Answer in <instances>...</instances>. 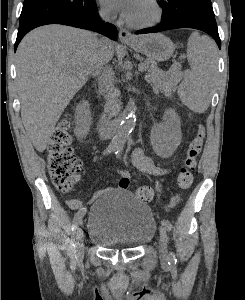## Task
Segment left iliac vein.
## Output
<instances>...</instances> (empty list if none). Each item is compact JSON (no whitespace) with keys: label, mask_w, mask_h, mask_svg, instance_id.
Instances as JSON below:
<instances>
[{"label":"left iliac vein","mask_w":245,"mask_h":300,"mask_svg":"<svg viewBox=\"0 0 245 300\" xmlns=\"http://www.w3.org/2000/svg\"><path fill=\"white\" fill-rule=\"evenodd\" d=\"M160 232V248H159V253H160V259L163 262H167L168 260V249H167V242H168V237H167V232L164 226H161L159 229Z\"/></svg>","instance_id":"left-iliac-vein-1"}]
</instances>
